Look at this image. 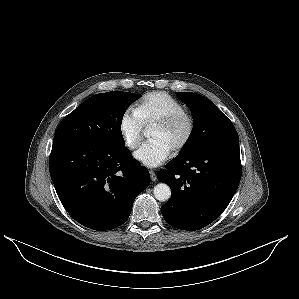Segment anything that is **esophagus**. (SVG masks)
Wrapping results in <instances>:
<instances>
[{"instance_id":"34e87169","label":"esophagus","mask_w":299,"mask_h":299,"mask_svg":"<svg viewBox=\"0 0 299 299\" xmlns=\"http://www.w3.org/2000/svg\"><path fill=\"white\" fill-rule=\"evenodd\" d=\"M150 177L152 181H156L157 180V176L156 173L153 170L149 171Z\"/></svg>"}]
</instances>
